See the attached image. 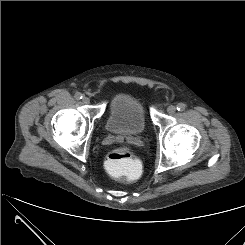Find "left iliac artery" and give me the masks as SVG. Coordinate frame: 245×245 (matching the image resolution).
Wrapping results in <instances>:
<instances>
[{
	"label": "left iliac artery",
	"instance_id": "obj_1",
	"mask_svg": "<svg viewBox=\"0 0 245 245\" xmlns=\"http://www.w3.org/2000/svg\"><path fill=\"white\" fill-rule=\"evenodd\" d=\"M185 108H186V105L184 104V103H179L178 105H177V110L178 111H184L185 110Z\"/></svg>",
	"mask_w": 245,
	"mask_h": 245
}]
</instances>
